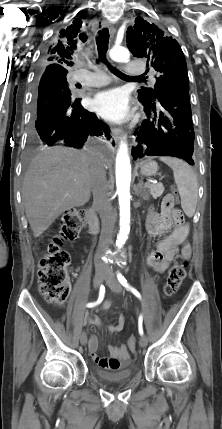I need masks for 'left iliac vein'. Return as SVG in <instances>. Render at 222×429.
<instances>
[{
  "label": "left iliac vein",
  "mask_w": 222,
  "mask_h": 429,
  "mask_svg": "<svg viewBox=\"0 0 222 429\" xmlns=\"http://www.w3.org/2000/svg\"><path fill=\"white\" fill-rule=\"evenodd\" d=\"M105 280L107 285L109 286V288L115 292V293H121L122 292V286L120 285V283L118 282V280L115 278V276L113 275L111 269L109 268L106 276H105ZM148 343V339L146 335H141L140 339H139V345L141 347H145Z\"/></svg>",
  "instance_id": "4c4485c4"
}]
</instances>
